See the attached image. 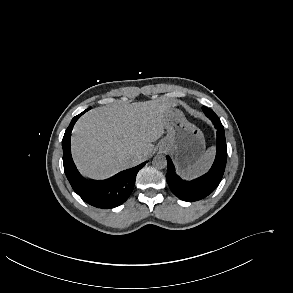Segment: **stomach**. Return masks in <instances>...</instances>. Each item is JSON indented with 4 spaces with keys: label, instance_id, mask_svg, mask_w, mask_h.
<instances>
[{
    "label": "stomach",
    "instance_id": "stomach-1",
    "mask_svg": "<svg viewBox=\"0 0 293 293\" xmlns=\"http://www.w3.org/2000/svg\"><path fill=\"white\" fill-rule=\"evenodd\" d=\"M167 135L159 143L160 150L171 153L176 165L186 169L205 152L202 131L188 122L180 110L172 109L165 114Z\"/></svg>",
    "mask_w": 293,
    "mask_h": 293
}]
</instances>
